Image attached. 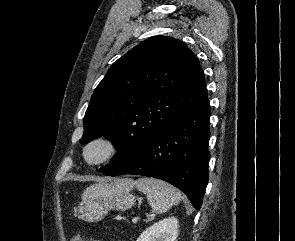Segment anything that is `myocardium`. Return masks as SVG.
Returning a JSON list of instances; mask_svg holds the SVG:
<instances>
[{
  "label": "myocardium",
  "instance_id": "f54148a6",
  "mask_svg": "<svg viewBox=\"0 0 295 241\" xmlns=\"http://www.w3.org/2000/svg\"><path fill=\"white\" fill-rule=\"evenodd\" d=\"M95 146H103L105 151L98 159L90 158V151ZM120 153V144L112 136L102 134L90 139L82 148V158L89 166H99L114 160Z\"/></svg>",
  "mask_w": 295,
  "mask_h": 241
}]
</instances>
